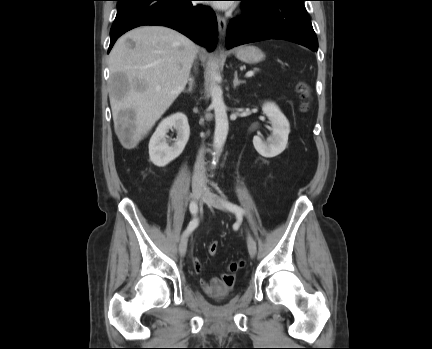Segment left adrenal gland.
Here are the masks:
<instances>
[{
    "label": "left adrenal gland",
    "instance_id": "1",
    "mask_svg": "<svg viewBox=\"0 0 432 349\" xmlns=\"http://www.w3.org/2000/svg\"><path fill=\"white\" fill-rule=\"evenodd\" d=\"M245 83V81L239 80L238 79V75H237V71H235L234 73V80H233V87L234 89L239 86L240 84Z\"/></svg>",
    "mask_w": 432,
    "mask_h": 349
}]
</instances>
